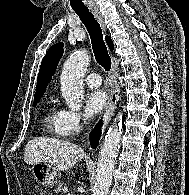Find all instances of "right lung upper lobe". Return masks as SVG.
<instances>
[{"mask_svg": "<svg viewBox=\"0 0 189 195\" xmlns=\"http://www.w3.org/2000/svg\"><path fill=\"white\" fill-rule=\"evenodd\" d=\"M106 42L110 48V51H112L113 43L110 37L106 36ZM63 46V43L54 44L46 52L40 66L34 100L41 98L45 92V88L50 83L57 68V64L63 55Z\"/></svg>", "mask_w": 189, "mask_h": 195, "instance_id": "cb5924a9", "label": "right lung upper lobe"}]
</instances>
